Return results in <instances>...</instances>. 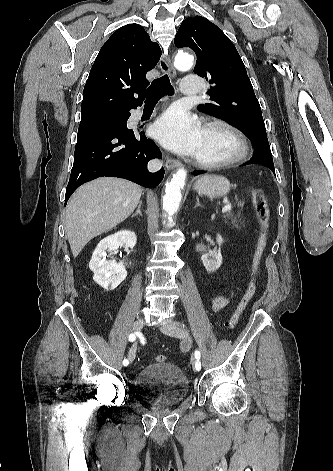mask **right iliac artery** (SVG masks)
Returning <instances> with one entry per match:
<instances>
[{"label":"right iliac artery","instance_id":"obj_1","mask_svg":"<svg viewBox=\"0 0 333 471\" xmlns=\"http://www.w3.org/2000/svg\"><path fill=\"white\" fill-rule=\"evenodd\" d=\"M128 339H129V341H131V342L135 341V339H136V334H135V333L130 334ZM128 364H129L128 359H124V360H123V365H124V366H127Z\"/></svg>","mask_w":333,"mask_h":471}]
</instances>
